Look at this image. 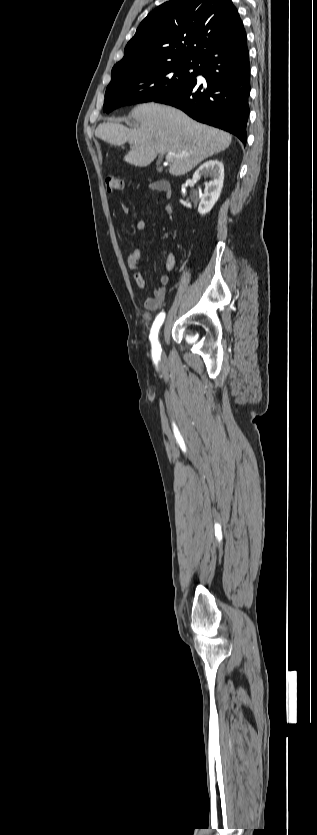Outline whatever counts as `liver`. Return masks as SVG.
<instances>
[{
  "mask_svg": "<svg viewBox=\"0 0 317 835\" xmlns=\"http://www.w3.org/2000/svg\"><path fill=\"white\" fill-rule=\"evenodd\" d=\"M131 117L140 124L136 128L104 122L96 128L95 136L114 146L128 142L130 151L124 161L139 167L151 164L158 154H174L169 168L173 176L188 173L204 159L224 151L232 140L227 132L196 122L181 110L154 102L136 106Z\"/></svg>",
  "mask_w": 317,
  "mask_h": 835,
  "instance_id": "liver-1",
  "label": "liver"
}]
</instances>
